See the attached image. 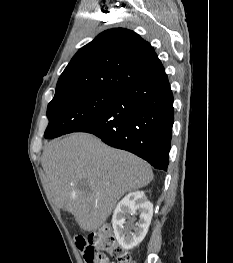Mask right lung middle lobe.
Wrapping results in <instances>:
<instances>
[{
    "mask_svg": "<svg viewBox=\"0 0 233 263\" xmlns=\"http://www.w3.org/2000/svg\"><path fill=\"white\" fill-rule=\"evenodd\" d=\"M117 92L81 90L54 96L48 104L49 125L46 138H55L75 132L99 116L111 103Z\"/></svg>",
    "mask_w": 233,
    "mask_h": 263,
    "instance_id": "right-lung-middle-lobe-1",
    "label": "right lung middle lobe"
}]
</instances>
